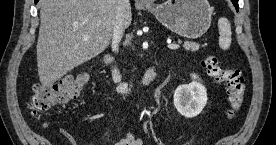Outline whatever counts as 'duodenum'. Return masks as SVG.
I'll return each mask as SVG.
<instances>
[{
  "mask_svg": "<svg viewBox=\"0 0 276 145\" xmlns=\"http://www.w3.org/2000/svg\"><path fill=\"white\" fill-rule=\"evenodd\" d=\"M106 62L108 64H111L112 58L110 56H107ZM156 68L157 66L153 65L147 69V71L144 73L140 81L141 87L148 86L151 82L154 81L156 76ZM111 76H112V79L119 85V89L122 91V93L126 94L127 96H130V94L133 93V88L124 79L121 71L112 65H111Z\"/></svg>",
  "mask_w": 276,
  "mask_h": 145,
  "instance_id": "duodenum-1",
  "label": "duodenum"
}]
</instances>
